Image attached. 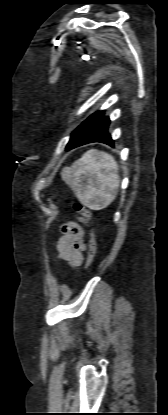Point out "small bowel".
Wrapping results in <instances>:
<instances>
[{
	"label": "small bowel",
	"instance_id": "small-bowel-1",
	"mask_svg": "<svg viewBox=\"0 0 168 415\" xmlns=\"http://www.w3.org/2000/svg\"><path fill=\"white\" fill-rule=\"evenodd\" d=\"M63 232L56 246L58 256L71 266L78 267L83 261L82 252L86 249L82 230L76 224L68 223L63 226Z\"/></svg>",
	"mask_w": 168,
	"mask_h": 415
}]
</instances>
